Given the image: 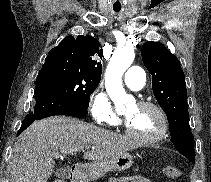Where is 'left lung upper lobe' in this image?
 Here are the masks:
<instances>
[{
    "mask_svg": "<svg viewBox=\"0 0 211 182\" xmlns=\"http://www.w3.org/2000/svg\"><path fill=\"white\" fill-rule=\"evenodd\" d=\"M141 55L145 67L152 75L153 93L167 116L172 143L182 155L195 163L185 76L180 62L159 42L144 43Z\"/></svg>",
    "mask_w": 211,
    "mask_h": 182,
    "instance_id": "obj_1",
    "label": "left lung upper lobe"
}]
</instances>
